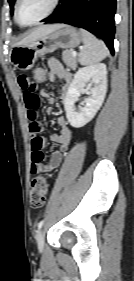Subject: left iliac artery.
I'll list each match as a JSON object with an SVG mask.
<instances>
[{"mask_svg":"<svg viewBox=\"0 0 134 281\" xmlns=\"http://www.w3.org/2000/svg\"><path fill=\"white\" fill-rule=\"evenodd\" d=\"M43 223H44V220H41V221L38 223V230L41 229Z\"/></svg>","mask_w":134,"mask_h":281,"instance_id":"left-iliac-artery-1","label":"left iliac artery"}]
</instances>
